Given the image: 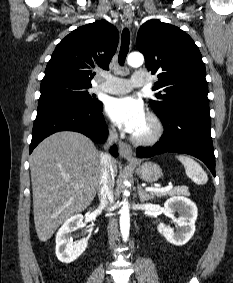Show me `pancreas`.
Wrapping results in <instances>:
<instances>
[{"mask_svg":"<svg viewBox=\"0 0 233 283\" xmlns=\"http://www.w3.org/2000/svg\"><path fill=\"white\" fill-rule=\"evenodd\" d=\"M175 195H184L189 196L188 188L187 187H177L174 189H171L166 192H150V196L154 198V196L162 197V196H175Z\"/></svg>","mask_w":233,"mask_h":283,"instance_id":"obj_1","label":"pancreas"}]
</instances>
